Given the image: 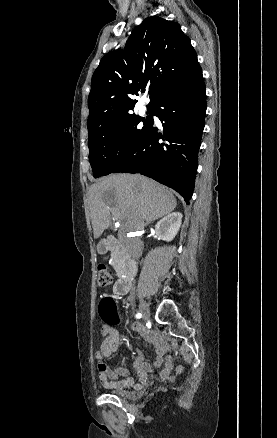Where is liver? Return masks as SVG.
I'll list each match as a JSON object with an SVG mask.
<instances>
[{
	"label": "liver",
	"instance_id": "liver-1",
	"mask_svg": "<svg viewBox=\"0 0 277 438\" xmlns=\"http://www.w3.org/2000/svg\"><path fill=\"white\" fill-rule=\"evenodd\" d=\"M176 206L170 190L150 178L140 174L108 176L90 188L94 238H100L111 226V214L130 232L142 230L145 224L167 216Z\"/></svg>",
	"mask_w": 277,
	"mask_h": 438
}]
</instances>
